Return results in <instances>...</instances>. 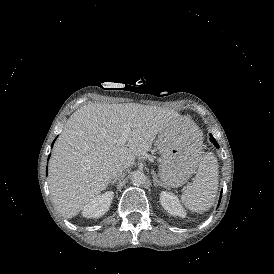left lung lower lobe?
Returning a JSON list of instances; mask_svg holds the SVG:
<instances>
[{"label": "left lung lower lobe", "mask_w": 274, "mask_h": 274, "mask_svg": "<svg viewBox=\"0 0 274 274\" xmlns=\"http://www.w3.org/2000/svg\"><path fill=\"white\" fill-rule=\"evenodd\" d=\"M210 136H211L210 141H211L217 148H219V145H218L217 141L212 137V135H210ZM221 195H222V193H221ZM220 197H221V196H220Z\"/></svg>", "instance_id": "0a47b994"}]
</instances>
